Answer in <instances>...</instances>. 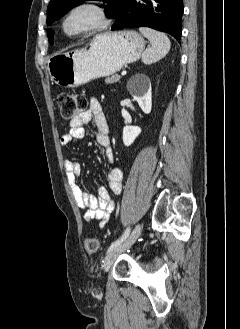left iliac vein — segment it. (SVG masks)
<instances>
[{"label": "left iliac vein", "mask_w": 240, "mask_h": 329, "mask_svg": "<svg viewBox=\"0 0 240 329\" xmlns=\"http://www.w3.org/2000/svg\"><path fill=\"white\" fill-rule=\"evenodd\" d=\"M141 233V224H137L132 233L116 249L110 251L104 259V269L109 270L116 258L130 248Z\"/></svg>", "instance_id": "4c4485c4"}]
</instances>
